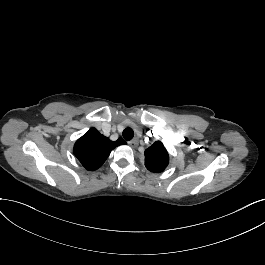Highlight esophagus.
I'll return each mask as SVG.
<instances>
[{"label": "esophagus", "instance_id": "1", "mask_svg": "<svg viewBox=\"0 0 265 265\" xmlns=\"http://www.w3.org/2000/svg\"><path fill=\"white\" fill-rule=\"evenodd\" d=\"M128 144L132 147V148H136L139 145V139L137 137L131 139Z\"/></svg>", "mask_w": 265, "mask_h": 265}]
</instances>
